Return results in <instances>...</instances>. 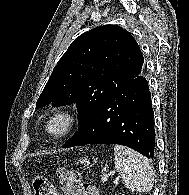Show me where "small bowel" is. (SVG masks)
Returning a JSON list of instances; mask_svg holds the SVG:
<instances>
[{
	"mask_svg": "<svg viewBox=\"0 0 189 195\" xmlns=\"http://www.w3.org/2000/svg\"><path fill=\"white\" fill-rule=\"evenodd\" d=\"M85 195H99V190L95 186H89L86 188Z\"/></svg>",
	"mask_w": 189,
	"mask_h": 195,
	"instance_id": "1",
	"label": "small bowel"
}]
</instances>
